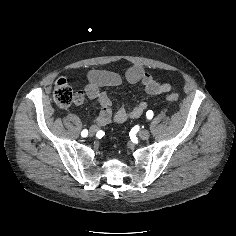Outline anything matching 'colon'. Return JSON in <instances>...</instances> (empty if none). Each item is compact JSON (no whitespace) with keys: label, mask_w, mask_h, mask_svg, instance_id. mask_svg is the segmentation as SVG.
<instances>
[{"label":"colon","mask_w":236,"mask_h":236,"mask_svg":"<svg viewBox=\"0 0 236 236\" xmlns=\"http://www.w3.org/2000/svg\"><path fill=\"white\" fill-rule=\"evenodd\" d=\"M53 97L55 103L61 108L69 107L73 100L74 95L71 87L68 85L66 80L59 79L54 86ZM180 98L179 93L172 92L166 96L168 102H177Z\"/></svg>","instance_id":"5ec220e1"}]
</instances>
